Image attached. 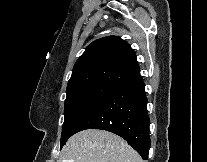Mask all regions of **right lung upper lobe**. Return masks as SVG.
<instances>
[{
    "label": "right lung upper lobe",
    "mask_w": 207,
    "mask_h": 162,
    "mask_svg": "<svg viewBox=\"0 0 207 162\" xmlns=\"http://www.w3.org/2000/svg\"><path fill=\"white\" fill-rule=\"evenodd\" d=\"M139 73L136 55L117 36L98 39L87 46L74 65L67 91L91 85L118 86Z\"/></svg>",
    "instance_id": "1"
}]
</instances>
